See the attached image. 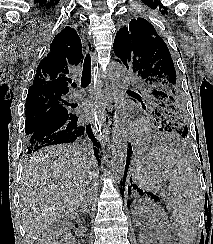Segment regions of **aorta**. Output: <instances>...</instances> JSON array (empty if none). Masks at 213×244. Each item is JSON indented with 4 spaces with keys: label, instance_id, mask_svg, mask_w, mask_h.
Listing matches in <instances>:
<instances>
[{
    "label": "aorta",
    "instance_id": "1",
    "mask_svg": "<svg viewBox=\"0 0 213 244\" xmlns=\"http://www.w3.org/2000/svg\"><path fill=\"white\" fill-rule=\"evenodd\" d=\"M109 74L112 79L115 101L121 102L125 98L124 68L120 63L113 61L109 64ZM123 114L124 111L119 107L114 118L115 128L113 132L111 171L112 178L116 183H119L124 177L127 160L128 141L124 128L125 117Z\"/></svg>",
    "mask_w": 213,
    "mask_h": 244
}]
</instances>
